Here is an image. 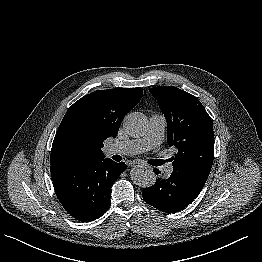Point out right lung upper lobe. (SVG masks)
I'll return each mask as SVG.
<instances>
[{
  "label": "right lung upper lobe",
  "instance_id": "right-lung-upper-lobe-1",
  "mask_svg": "<svg viewBox=\"0 0 262 262\" xmlns=\"http://www.w3.org/2000/svg\"><path fill=\"white\" fill-rule=\"evenodd\" d=\"M142 96V88H120L80 98L68 109L56 132L51 168L103 159V141L117 136L123 117Z\"/></svg>",
  "mask_w": 262,
  "mask_h": 262
}]
</instances>
